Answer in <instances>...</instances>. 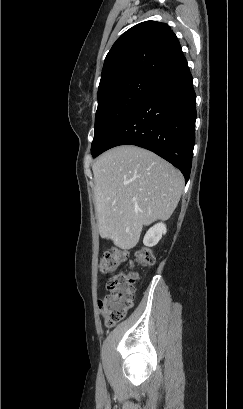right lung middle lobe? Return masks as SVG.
<instances>
[{
  "label": "right lung middle lobe",
  "mask_w": 243,
  "mask_h": 409,
  "mask_svg": "<svg viewBox=\"0 0 243 409\" xmlns=\"http://www.w3.org/2000/svg\"><path fill=\"white\" fill-rule=\"evenodd\" d=\"M159 80L139 76L111 85L98 98L91 153L96 156L109 137L133 112Z\"/></svg>",
  "instance_id": "right-lung-middle-lobe-1"
}]
</instances>
